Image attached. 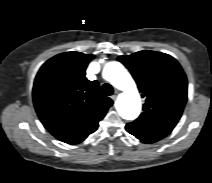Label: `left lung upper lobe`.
<instances>
[{"instance_id":"obj_1","label":"left lung upper lobe","mask_w":212,"mask_h":183,"mask_svg":"<svg viewBox=\"0 0 212 183\" xmlns=\"http://www.w3.org/2000/svg\"><path fill=\"white\" fill-rule=\"evenodd\" d=\"M118 60L130 70L145 98L144 112L130 124L169 134L187 101V79L179 63L168 54L147 50Z\"/></svg>"}]
</instances>
